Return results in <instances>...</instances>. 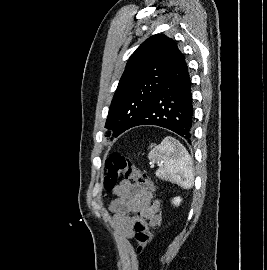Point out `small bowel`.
<instances>
[{
	"label": "small bowel",
	"instance_id": "small-bowel-1",
	"mask_svg": "<svg viewBox=\"0 0 267 270\" xmlns=\"http://www.w3.org/2000/svg\"><path fill=\"white\" fill-rule=\"evenodd\" d=\"M113 193L115 199L110 203L109 210L113 214L116 230L123 240L133 239L135 224L139 219L153 226L159 224V205L152 200L150 191L125 179L114 188Z\"/></svg>",
	"mask_w": 267,
	"mask_h": 270
}]
</instances>
